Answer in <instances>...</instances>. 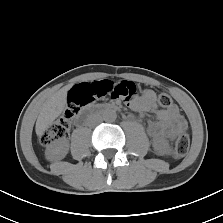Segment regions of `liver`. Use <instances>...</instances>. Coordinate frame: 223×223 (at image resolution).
Segmentation results:
<instances>
[{
	"instance_id": "liver-1",
	"label": "liver",
	"mask_w": 223,
	"mask_h": 223,
	"mask_svg": "<svg viewBox=\"0 0 223 223\" xmlns=\"http://www.w3.org/2000/svg\"><path fill=\"white\" fill-rule=\"evenodd\" d=\"M71 86H65L52 95L42 106L36 121L35 131L40 137L53 121L63 112L67 104V92Z\"/></svg>"
}]
</instances>
